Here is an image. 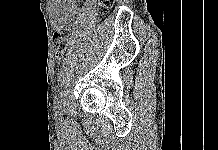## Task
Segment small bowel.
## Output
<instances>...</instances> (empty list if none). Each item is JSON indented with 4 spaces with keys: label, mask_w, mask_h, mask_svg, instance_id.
<instances>
[{
    "label": "small bowel",
    "mask_w": 218,
    "mask_h": 150,
    "mask_svg": "<svg viewBox=\"0 0 218 150\" xmlns=\"http://www.w3.org/2000/svg\"><path fill=\"white\" fill-rule=\"evenodd\" d=\"M55 27L70 22L78 9L75 0H50Z\"/></svg>",
    "instance_id": "c3829d8e"
}]
</instances>
